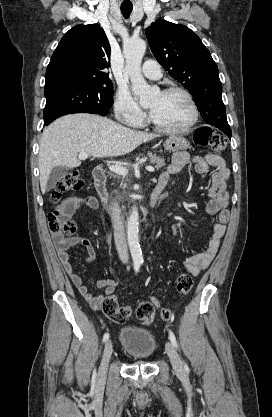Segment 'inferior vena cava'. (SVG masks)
Returning <instances> with one entry per match:
<instances>
[{"mask_svg": "<svg viewBox=\"0 0 272 417\" xmlns=\"http://www.w3.org/2000/svg\"><path fill=\"white\" fill-rule=\"evenodd\" d=\"M111 212H112V220H113V227H114V240H115L116 250L118 252L120 260L124 264H126L128 263L129 256H128L126 237H125V230H124V225H123V218L121 215V209L118 205V202L116 201L112 202Z\"/></svg>", "mask_w": 272, "mask_h": 417, "instance_id": "602c4592", "label": "inferior vena cava"}]
</instances>
